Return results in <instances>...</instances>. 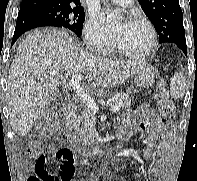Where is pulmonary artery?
Returning a JSON list of instances; mask_svg holds the SVG:
<instances>
[{
  "instance_id": "e3ab8cb5",
  "label": "pulmonary artery",
  "mask_w": 197,
  "mask_h": 181,
  "mask_svg": "<svg viewBox=\"0 0 197 181\" xmlns=\"http://www.w3.org/2000/svg\"><path fill=\"white\" fill-rule=\"evenodd\" d=\"M112 1L121 6H128L132 3V0H112Z\"/></svg>"
}]
</instances>
